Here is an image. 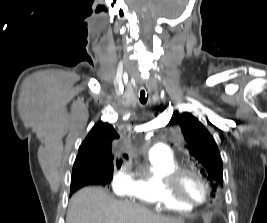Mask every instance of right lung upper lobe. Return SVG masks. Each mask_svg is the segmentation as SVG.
I'll return each mask as SVG.
<instances>
[{
	"label": "right lung upper lobe",
	"instance_id": "cb5924a9",
	"mask_svg": "<svg viewBox=\"0 0 267 223\" xmlns=\"http://www.w3.org/2000/svg\"><path fill=\"white\" fill-rule=\"evenodd\" d=\"M119 135L109 123L98 122L79 147L72 175L102 174L113 166L110 144ZM121 164V163H120Z\"/></svg>",
	"mask_w": 267,
	"mask_h": 223
}]
</instances>
